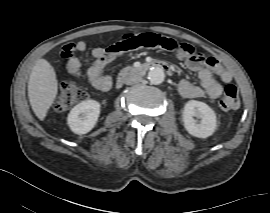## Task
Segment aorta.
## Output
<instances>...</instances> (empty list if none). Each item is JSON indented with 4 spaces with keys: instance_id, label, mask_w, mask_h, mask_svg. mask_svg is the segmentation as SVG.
Instances as JSON below:
<instances>
[{
    "instance_id": "762f6f07",
    "label": "aorta",
    "mask_w": 270,
    "mask_h": 213,
    "mask_svg": "<svg viewBox=\"0 0 270 213\" xmlns=\"http://www.w3.org/2000/svg\"><path fill=\"white\" fill-rule=\"evenodd\" d=\"M164 78V71L159 67H153L148 72V79L154 85L161 84L164 81Z\"/></svg>"
}]
</instances>
